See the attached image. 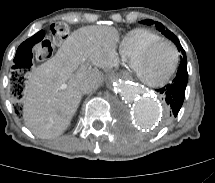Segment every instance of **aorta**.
<instances>
[{"mask_svg":"<svg viewBox=\"0 0 215 183\" xmlns=\"http://www.w3.org/2000/svg\"><path fill=\"white\" fill-rule=\"evenodd\" d=\"M113 97L122 104L137 125L151 128L159 124L163 109L161 104L139 85L123 79L113 78L109 82Z\"/></svg>","mask_w":215,"mask_h":183,"instance_id":"762f6f07","label":"aorta"}]
</instances>
